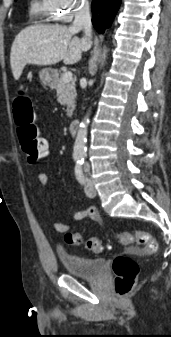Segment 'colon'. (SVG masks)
Wrapping results in <instances>:
<instances>
[{
	"mask_svg": "<svg viewBox=\"0 0 171 337\" xmlns=\"http://www.w3.org/2000/svg\"><path fill=\"white\" fill-rule=\"evenodd\" d=\"M14 115L17 133L22 150L28 163L44 161L45 156H50L53 144H48V137L38 131L35 115L30 98L20 93L14 101ZM118 243L125 247L134 246L138 252L154 253L158 249V243L150 232L133 230L122 231L116 235ZM65 241L70 245H80L83 242L79 232H66ZM108 246L103 240L90 238L86 241V247L92 252H102ZM114 272V287L119 295L129 294L139 273L136 261L130 256H117L112 264Z\"/></svg>",
	"mask_w": 171,
	"mask_h": 337,
	"instance_id": "1",
	"label": "colon"
}]
</instances>
